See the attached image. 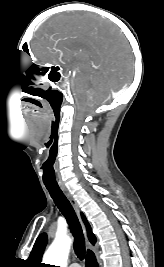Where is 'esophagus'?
<instances>
[{
    "label": "esophagus",
    "mask_w": 164,
    "mask_h": 267,
    "mask_svg": "<svg viewBox=\"0 0 164 267\" xmlns=\"http://www.w3.org/2000/svg\"><path fill=\"white\" fill-rule=\"evenodd\" d=\"M62 191L65 194V196L67 197V199L69 200V202L71 203L72 207L74 208V210L76 211L78 216L80 217L79 207H78V204H77L76 200L74 199V197L69 193V191L66 188H62ZM83 228H84V225H83ZM84 233L86 236L85 228H84Z\"/></svg>",
    "instance_id": "34e87169"
}]
</instances>
